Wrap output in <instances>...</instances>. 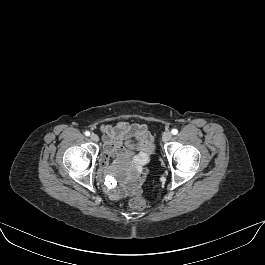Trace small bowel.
Here are the masks:
<instances>
[{"label":"small bowel","mask_w":265,"mask_h":265,"mask_svg":"<svg viewBox=\"0 0 265 265\" xmlns=\"http://www.w3.org/2000/svg\"><path fill=\"white\" fill-rule=\"evenodd\" d=\"M102 133L105 148L100 162L103 170L108 169L112 157L124 158L133 155L138 167H142L148 161L152 138L145 125L118 122L115 125L103 126ZM145 176L146 171L142 169L139 175L128 180L122 188L111 184L107 185L106 191L114 200L137 196L142 191Z\"/></svg>","instance_id":"1"}]
</instances>
